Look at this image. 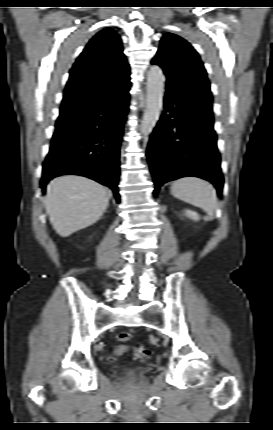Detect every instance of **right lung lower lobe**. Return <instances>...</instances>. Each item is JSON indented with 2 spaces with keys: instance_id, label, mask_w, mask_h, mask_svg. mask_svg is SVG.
Segmentation results:
<instances>
[{
  "instance_id": "right-lung-lower-lobe-1",
  "label": "right lung lower lobe",
  "mask_w": 273,
  "mask_h": 430,
  "mask_svg": "<svg viewBox=\"0 0 273 430\" xmlns=\"http://www.w3.org/2000/svg\"><path fill=\"white\" fill-rule=\"evenodd\" d=\"M127 86L101 88L71 123L56 127L43 164L41 188L54 177L77 174L117 189L120 144L129 108Z\"/></svg>"
}]
</instances>
